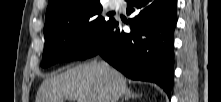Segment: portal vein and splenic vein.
<instances>
[{
    "instance_id": "18ae733b",
    "label": "portal vein and splenic vein",
    "mask_w": 221,
    "mask_h": 102,
    "mask_svg": "<svg viewBox=\"0 0 221 102\" xmlns=\"http://www.w3.org/2000/svg\"><path fill=\"white\" fill-rule=\"evenodd\" d=\"M78 101L85 102V100H78Z\"/></svg>"
}]
</instances>
